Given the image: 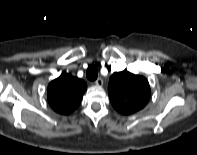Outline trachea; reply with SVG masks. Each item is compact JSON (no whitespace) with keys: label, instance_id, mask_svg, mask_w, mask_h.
I'll return each instance as SVG.
<instances>
[{"label":"trachea","instance_id":"obj_1","mask_svg":"<svg viewBox=\"0 0 197 155\" xmlns=\"http://www.w3.org/2000/svg\"><path fill=\"white\" fill-rule=\"evenodd\" d=\"M98 76V69L96 66L92 65L90 66L87 71H86V77L90 80V81H94L97 79Z\"/></svg>","mask_w":197,"mask_h":155}]
</instances>
